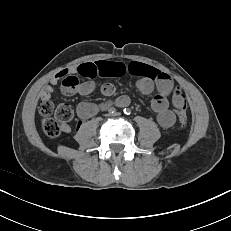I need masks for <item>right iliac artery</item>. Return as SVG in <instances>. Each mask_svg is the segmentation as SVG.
I'll list each match as a JSON object with an SVG mask.
<instances>
[{
    "instance_id": "1",
    "label": "right iliac artery",
    "mask_w": 231,
    "mask_h": 231,
    "mask_svg": "<svg viewBox=\"0 0 231 231\" xmlns=\"http://www.w3.org/2000/svg\"><path fill=\"white\" fill-rule=\"evenodd\" d=\"M109 113L113 114L116 112V109L114 107L109 108Z\"/></svg>"
}]
</instances>
